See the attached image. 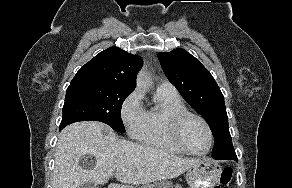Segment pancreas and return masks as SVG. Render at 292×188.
Instances as JSON below:
<instances>
[{
    "instance_id": "pancreas-1",
    "label": "pancreas",
    "mask_w": 292,
    "mask_h": 188,
    "mask_svg": "<svg viewBox=\"0 0 292 188\" xmlns=\"http://www.w3.org/2000/svg\"><path fill=\"white\" fill-rule=\"evenodd\" d=\"M141 188H181L179 185L173 186L169 181H160L151 184H147Z\"/></svg>"
}]
</instances>
